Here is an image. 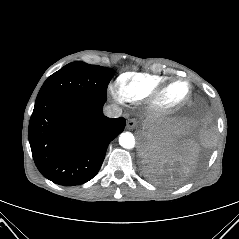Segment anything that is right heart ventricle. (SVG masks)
I'll list each match as a JSON object with an SVG mask.
<instances>
[{"mask_svg":"<svg viewBox=\"0 0 239 239\" xmlns=\"http://www.w3.org/2000/svg\"><path fill=\"white\" fill-rule=\"evenodd\" d=\"M166 81L167 79L163 76L142 72H125L118 77L117 87L124 99L139 101L148 97Z\"/></svg>","mask_w":239,"mask_h":239,"instance_id":"obj_1","label":"right heart ventricle"}]
</instances>
